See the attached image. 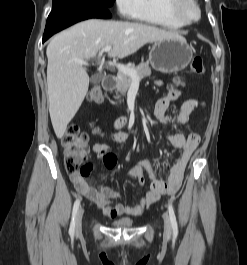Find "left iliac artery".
Returning a JSON list of instances; mask_svg holds the SVG:
<instances>
[{
	"label": "left iliac artery",
	"mask_w": 247,
	"mask_h": 265,
	"mask_svg": "<svg viewBox=\"0 0 247 265\" xmlns=\"http://www.w3.org/2000/svg\"><path fill=\"white\" fill-rule=\"evenodd\" d=\"M168 211H169L171 226H172V230H173V236L177 237L178 226H177V221H176V216H175V213H174V209H173L171 204L168 205Z\"/></svg>",
	"instance_id": "44dca946"
}]
</instances>
